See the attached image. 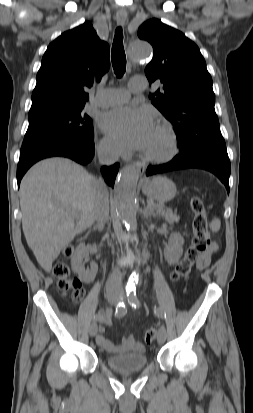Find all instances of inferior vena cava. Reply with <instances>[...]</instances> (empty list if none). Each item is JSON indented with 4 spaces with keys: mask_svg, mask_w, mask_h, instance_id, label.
<instances>
[{
    "mask_svg": "<svg viewBox=\"0 0 253 413\" xmlns=\"http://www.w3.org/2000/svg\"><path fill=\"white\" fill-rule=\"evenodd\" d=\"M119 157V150L112 145L106 144L98 149V159L101 164L112 165ZM109 217L108 190L103 180H97L95 188V220L98 224L104 225ZM122 277L119 269H115L106 283V291H120Z\"/></svg>",
    "mask_w": 253,
    "mask_h": 413,
    "instance_id": "obj_1",
    "label": "inferior vena cava"
}]
</instances>
